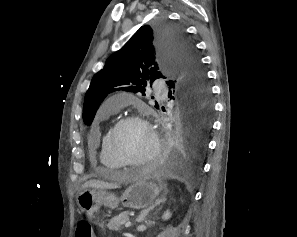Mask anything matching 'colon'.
I'll list each match as a JSON object with an SVG mask.
<instances>
[{
	"mask_svg": "<svg viewBox=\"0 0 297 237\" xmlns=\"http://www.w3.org/2000/svg\"><path fill=\"white\" fill-rule=\"evenodd\" d=\"M75 237H94L89 222L81 220L77 223Z\"/></svg>",
	"mask_w": 297,
	"mask_h": 237,
	"instance_id": "obj_1",
	"label": "colon"
}]
</instances>
